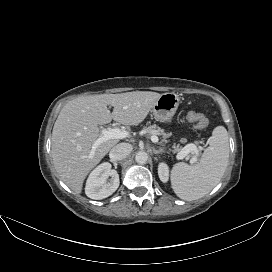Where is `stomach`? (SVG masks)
I'll list each match as a JSON object with an SVG mask.
<instances>
[{
	"label": "stomach",
	"mask_w": 272,
	"mask_h": 272,
	"mask_svg": "<svg viewBox=\"0 0 272 272\" xmlns=\"http://www.w3.org/2000/svg\"><path fill=\"white\" fill-rule=\"evenodd\" d=\"M180 98L175 93H164L151 109L156 120L160 122H171L179 106Z\"/></svg>",
	"instance_id": "1"
}]
</instances>
